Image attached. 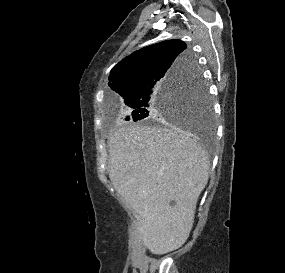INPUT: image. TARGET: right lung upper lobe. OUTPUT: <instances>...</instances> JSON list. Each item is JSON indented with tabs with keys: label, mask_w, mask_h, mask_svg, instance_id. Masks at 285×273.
I'll use <instances>...</instances> for the list:
<instances>
[{
	"label": "right lung upper lobe",
	"mask_w": 285,
	"mask_h": 273,
	"mask_svg": "<svg viewBox=\"0 0 285 273\" xmlns=\"http://www.w3.org/2000/svg\"><path fill=\"white\" fill-rule=\"evenodd\" d=\"M186 44L166 40L144 47L113 67L109 86L127 102L196 66Z\"/></svg>",
	"instance_id": "1"
}]
</instances>
